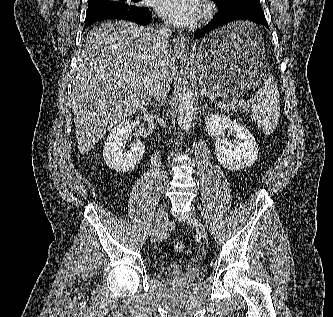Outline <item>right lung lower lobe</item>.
Instances as JSON below:
<instances>
[{
  "instance_id": "right-lung-lower-lobe-1",
  "label": "right lung lower lobe",
  "mask_w": 333,
  "mask_h": 317,
  "mask_svg": "<svg viewBox=\"0 0 333 317\" xmlns=\"http://www.w3.org/2000/svg\"><path fill=\"white\" fill-rule=\"evenodd\" d=\"M107 19H120L128 20L140 25H147L151 22V12L149 9L144 10H133L127 12H116V11H104L93 14H86L84 29L93 24L96 21L107 20Z\"/></svg>"
}]
</instances>
